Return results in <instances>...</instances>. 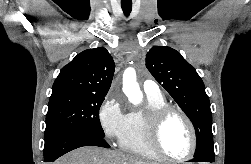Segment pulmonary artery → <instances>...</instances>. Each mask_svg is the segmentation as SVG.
<instances>
[{
    "label": "pulmonary artery",
    "instance_id": "1",
    "mask_svg": "<svg viewBox=\"0 0 251 164\" xmlns=\"http://www.w3.org/2000/svg\"><path fill=\"white\" fill-rule=\"evenodd\" d=\"M143 90L147 96H160L161 95V91L157 83L150 79H146L143 82Z\"/></svg>",
    "mask_w": 251,
    "mask_h": 164
}]
</instances>
